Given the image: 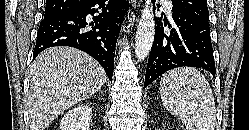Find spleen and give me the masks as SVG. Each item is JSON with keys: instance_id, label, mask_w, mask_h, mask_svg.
Wrapping results in <instances>:
<instances>
[{"instance_id": "1", "label": "spleen", "mask_w": 249, "mask_h": 130, "mask_svg": "<svg viewBox=\"0 0 249 130\" xmlns=\"http://www.w3.org/2000/svg\"><path fill=\"white\" fill-rule=\"evenodd\" d=\"M165 108L179 116L187 130H214L216 107L212 89L196 68L181 67L166 72L160 81Z\"/></svg>"}]
</instances>
